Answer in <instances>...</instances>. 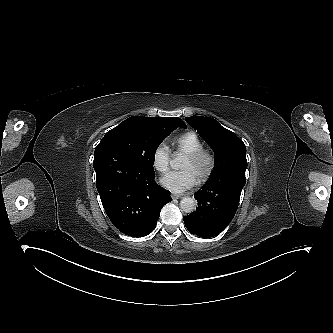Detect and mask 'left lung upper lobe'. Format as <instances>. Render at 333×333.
I'll return each mask as SVG.
<instances>
[{
	"instance_id": "1",
	"label": "left lung upper lobe",
	"mask_w": 333,
	"mask_h": 333,
	"mask_svg": "<svg viewBox=\"0 0 333 333\" xmlns=\"http://www.w3.org/2000/svg\"><path fill=\"white\" fill-rule=\"evenodd\" d=\"M185 120L214 150L215 167L208 181L222 178L228 183L245 175L246 147L240 138L213 118L196 116Z\"/></svg>"
}]
</instances>
